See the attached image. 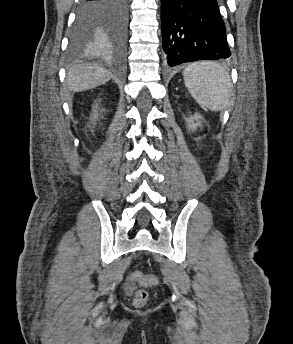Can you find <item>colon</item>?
<instances>
[{
	"label": "colon",
	"instance_id": "5ec220e1",
	"mask_svg": "<svg viewBox=\"0 0 293 344\" xmlns=\"http://www.w3.org/2000/svg\"><path fill=\"white\" fill-rule=\"evenodd\" d=\"M145 280L153 281L154 278L153 277H147L146 275L139 273V272H135V273H132L130 275L129 281L132 284H137V283L145 281ZM147 301H148L147 291L144 289H136L135 294H134V305L136 307H143L146 305Z\"/></svg>",
	"mask_w": 293,
	"mask_h": 344
}]
</instances>
